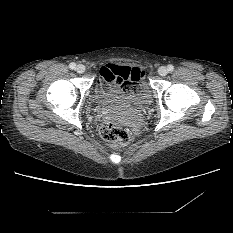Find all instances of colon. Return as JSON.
I'll return each mask as SVG.
<instances>
[{"instance_id":"1","label":"colon","mask_w":233,"mask_h":233,"mask_svg":"<svg viewBox=\"0 0 233 233\" xmlns=\"http://www.w3.org/2000/svg\"><path fill=\"white\" fill-rule=\"evenodd\" d=\"M113 78L127 92H132L137 88L138 77L136 74H131L127 68L116 70ZM101 120L100 133L112 147L126 146L129 143L130 135L122 125L121 118L116 111L110 108L103 109Z\"/></svg>"}]
</instances>
